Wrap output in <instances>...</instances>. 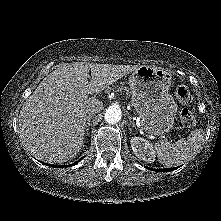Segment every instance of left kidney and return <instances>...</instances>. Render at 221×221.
<instances>
[{
  "mask_svg": "<svg viewBox=\"0 0 221 221\" xmlns=\"http://www.w3.org/2000/svg\"><path fill=\"white\" fill-rule=\"evenodd\" d=\"M134 154L140 159L148 163L155 161V150L148 140L141 137H132L130 140Z\"/></svg>",
  "mask_w": 221,
  "mask_h": 221,
  "instance_id": "1",
  "label": "left kidney"
}]
</instances>
